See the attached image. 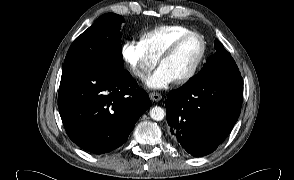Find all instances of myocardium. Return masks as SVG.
I'll return each instance as SVG.
<instances>
[{
	"instance_id": "1",
	"label": "myocardium",
	"mask_w": 294,
	"mask_h": 180,
	"mask_svg": "<svg viewBox=\"0 0 294 180\" xmlns=\"http://www.w3.org/2000/svg\"><path fill=\"white\" fill-rule=\"evenodd\" d=\"M191 37H197L199 38L200 42H201V52L200 55L196 61V63L194 64V66L192 67V69L182 78L178 79L175 81L176 84L178 85H183L186 84L188 82H190L198 73V71L200 70L205 57H206V53H207V43L206 40L204 38V36L197 32V31H190L188 33H185L179 37H177L168 47L167 49L161 54V56L158 59V63L159 65H161V63L169 58L171 55L174 54V52L178 49V47L187 39L191 38Z\"/></svg>"
}]
</instances>
